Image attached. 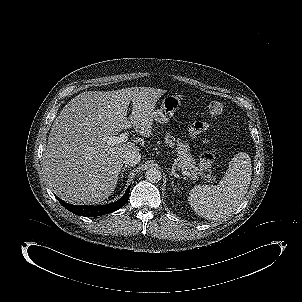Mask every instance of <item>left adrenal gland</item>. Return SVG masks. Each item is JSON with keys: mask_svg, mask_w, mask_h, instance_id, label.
I'll return each mask as SVG.
<instances>
[{"mask_svg": "<svg viewBox=\"0 0 302 302\" xmlns=\"http://www.w3.org/2000/svg\"><path fill=\"white\" fill-rule=\"evenodd\" d=\"M174 186V184H173V182H172V187ZM174 190H175V188H174Z\"/></svg>", "mask_w": 302, "mask_h": 302, "instance_id": "obj_1", "label": "left adrenal gland"}]
</instances>
